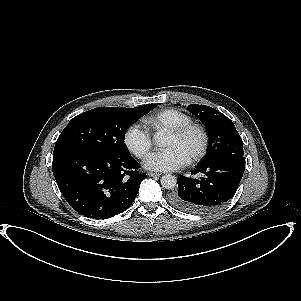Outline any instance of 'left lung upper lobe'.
Wrapping results in <instances>:
<instances>
[{"label": "left lung upper lobe", "instance_id": "5c2ea615", "mask_svg": "<svg viewBox=\"0 0 301 301\" xmlns=\"http://www.w3.org/2000/svg\"><path fill=\"white\" fill-rule=\"evenodd\" d=\"M188 110L199 117L210 136L208 154L201 164H207L227 153L244 155L243 141L228 117L206 105L191 104Z\"/></svg>", "mask_w": 301, "mask_h": 301}]
</instances>
